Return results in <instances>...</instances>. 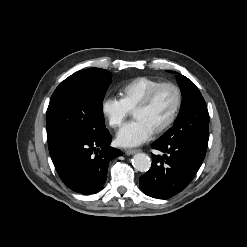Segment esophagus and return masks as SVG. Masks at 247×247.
<instances>
[{
  "label": "esophagus",
  "instance_id": "34e87169",
  "mask_svg": "<svg viewBox=\"0 0 247 247\" xmlns=\"http://www.w3.org/2000/svg\"><path fill=\"white\" fill-rule=\"evenodd\" d=\"M140 151V149H126V154H128V155H132V154H135V153H137V152H139Z\"/></svg>",
  "mask_w": 247,
  "mask_h": 247
}]
</instances>
